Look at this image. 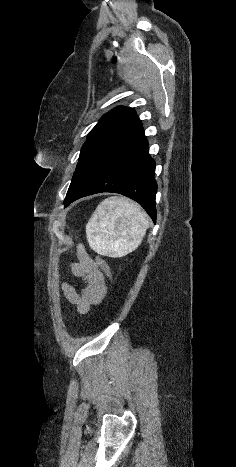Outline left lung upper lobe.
I'll list each match as a JSON object with an SVG mask.
<instances>
[{
	"mask_svg": "<svg viewBox=\"0 0 236 467\" xmlns=\"http://www.w3.org/2000/svg\"><path fill=\"white\" fill-rule=\"evenodd\" d=\"M140 122L129 107H117L106 113L89 133L65 199L75 194L90 176L108 148L127 130Z\"/></svg>",
	"mask_w": 236,
	"mask_h": 467,
	"instance_id": "left-lung-upper-lobe-1",
	"label": "left lung upper lobe"
}]
</instances>
